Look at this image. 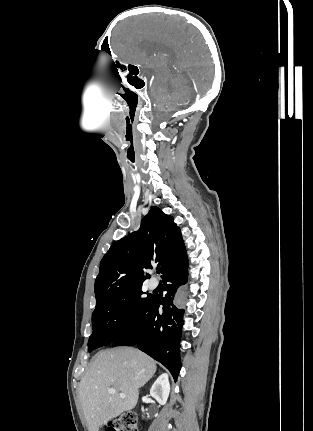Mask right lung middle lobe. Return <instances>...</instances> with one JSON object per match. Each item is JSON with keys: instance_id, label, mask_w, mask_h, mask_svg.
I'll list each match as a JSON object with an SVG mask.
<instances>
[{"instance_id": "obj_1", "label": "right lung middle lobe", "mask_w": 313, "mask_h": 431, "mask_svg": "<svg viewBox=\"0 0 313 431\" xmlns=\"http://www.w3.org/2000/svg\"><path fill=\"white\" fill-rule=\"evenodd\" d=\"M141 287L110 296L96 304L92 314L93 333L89 338V352L109 345L125 334L138 320L152 296L144 298Z\"/></svg>"}]
</instances>
